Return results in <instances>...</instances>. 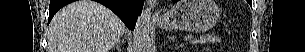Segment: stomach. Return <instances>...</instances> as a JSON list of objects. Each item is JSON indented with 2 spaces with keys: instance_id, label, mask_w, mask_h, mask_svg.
Wrapping results in <instances>:
<instances>
[{
  "instance_id": "0dacf381",
  "label": "stomach",
  "mask_w": 305,
  "mask_h": 52,
  "mask_svg": "<svg viewBox=\"0 0 305 52\" xmlns=\"http://www.w3.org/2000/svg\"><path fill=\"white\" fill-rule=\"evenodd\" d=\"M220 12L213 0H180L157 21L169 31L201 32L214 27Z\"/></svg>"
}]
</instances>
